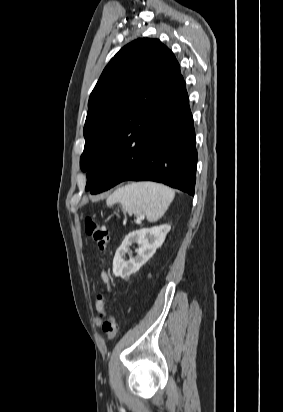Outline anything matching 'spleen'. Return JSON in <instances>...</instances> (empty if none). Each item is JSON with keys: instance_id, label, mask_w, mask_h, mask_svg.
<instances>
[{"instance_id": "1", "label": "spleen", "mask_w": 283, "mask_h": 412, "mask_svg": "<svg viewBox=\"0 0 283 412\" xmlns=\"http://www.w3.org/2000/svg\"><path fill=\"white\" fill-rule=\"evenodd\" d=\"M175 192L154 182H132L118 188L107 198V206L120 204L129 215L144 214L149 222L158 221L173 201Z\"/></svg>"}]
</instances>
